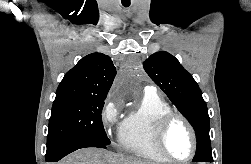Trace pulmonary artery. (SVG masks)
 Returning a JSON list of instances; mask_svg holds the SVG:
<instances>
[{
	"instance_id": "obj_1",
	"label": "pulmonary artery",
	"mask_w": 251,
	"mask_h": 164,
	"mask_svg": "<svg viewBox=\"0 0 251 164\" xmlns=\"http://www.w3.org/2000/svg\"><path fill=\"white\" fill-rule=\"evenodd\" d=\"M145 93H152V94H156V89L153 86H146L145 87Z\"/></svg>"
}]
</instances>
